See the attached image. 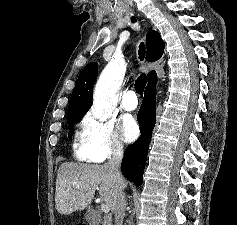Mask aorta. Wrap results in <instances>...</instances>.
<instances>
[{"mask_svg":"<svg viewBox=\"0 0 237 225\" xmlns=\"http://www.w3.org/2000/svg\"><path fill=\"white\" fill-rule=\"evenodd\" d=\"M125 72L126 65L120 57H113L102 71L94 89L91 109L98 120L105 121L112 115Z\"/></svg>","mask_w":237,"mask_h":225,"instance_id":"1","label":"aorta"}]
</instances>
